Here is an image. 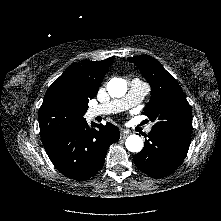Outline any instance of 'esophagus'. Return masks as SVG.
Here are the masks:
<instances>
[{"mask_svg": "<svg viewBox=\"0 0 221 221\" xmlns=\"http://www.w3.org/2000/svg\"><path fill=\"white\" fill-rule=\"evenodd\" d=\"M129 131L128 130H121V137L122 138H126L129 135Z\"/></svg>", "mask_w": 221, "mask_h": 221, "instance_id": "obj_1", "label": "esophagus"}]
</instances>
